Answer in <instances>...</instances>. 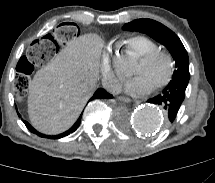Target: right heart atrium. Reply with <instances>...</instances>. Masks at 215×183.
I'll return each instance as SVG.
<instances>
[{"label":"right heart atrium","mask_w":215,"mask_h":183,"mask_svg":"<svg viewBox=\"0 0 215 183\" xmlns=\"http://www.w3.org/2000/svg\"><path fill=\"white\" fill-rule=\"evenodd\" d=\"M101 67H102L103 75L107 81L108 89L115 90L117 87L119 78L114 71L110 54L107 51H105L102 55Z\"/></svg>","instance_id":"1"}]
</instances>
